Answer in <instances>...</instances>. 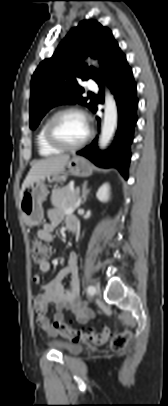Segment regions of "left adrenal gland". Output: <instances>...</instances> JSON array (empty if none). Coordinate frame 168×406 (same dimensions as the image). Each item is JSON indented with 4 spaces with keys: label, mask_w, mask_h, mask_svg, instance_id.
<instances>
[{
    "label": "left adrenal gland",
    "mask_w": 168,
    "mask_h": 406,
    "mask_svg": "<svg viewBox=\"0 0 168 406\" xmlns=\"http://www.w3.org/2000/svg\"><path fill=\"white\" fill-rule=\"evenodd\" d=\"M89 192L90 189H87V182H85L82 187L81 204H84L86 202Z\"/></svg>",
    "instance_id": "left-adrenal-gland-1"
}]
</instances>
